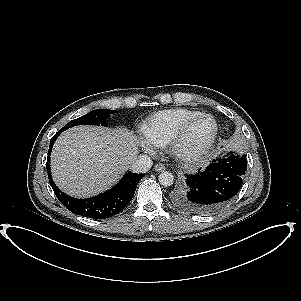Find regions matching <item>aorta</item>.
Returning <instances> with one entry per match:
<instances>
[{"instance_id": "762f6f07", "label": "aorta", "mask_w": 301, "mask_h": 301, "mask_svg": "<svg viewBox=\"0 0 301 301\" xmlns=\"http://www.w3.org/2000/svg\"><path fill=\"white\" fill-rule=\"evenodd\" d=\"M159 183L164 187H169L174 182V176L169 171H162L158 176Z\"/></svg>"}]
</instances>
